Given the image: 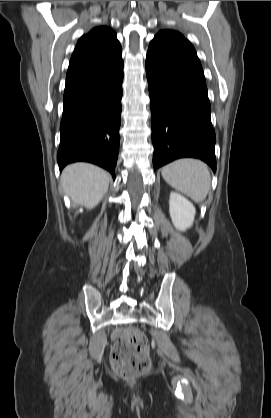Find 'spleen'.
Returning a JSON list of instances; mask_svg holds the SVG:
<instances>
[{
    "mask_svg": "<svg viewBox=\"0 0 271 418\" xmlns=\"http://www.w3.org/2000/svg\"><path fill=\"white\" fill-rule=\"evenodd\" d=\"M161 174L170 186L196 203L206 199L211 187L208 166L197 159L183 158L173 161L162 168Z\"/></svg>",
    "mask_w": 271,
    "mask_h": 418,
    "instance_id": "spleen-1",
    "label": "spleen"
}]
</instances>
